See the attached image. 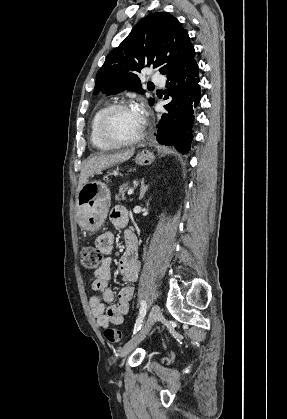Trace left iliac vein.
Wrapping results in <instances>:
<instances>
[{"label":"left iliac vein","mask_w":287,"mask_h":419,"mask_svg":"<svg viewBox=\"0 0 287 419\" xmlns=\"http://www.w3.org/2000/svg\"><path fill=\"white\" fill-rule=\"evenodd\" d=\"M161 318L160 307L157 304H154L150 310L147 321L145 322L143 328L140 332L134 336L128 343L124 345L121 350L120 356L124 358L129 352H131L148 334L151 327Z\"/></svg>","instance_id":"1"}]
</instances>
